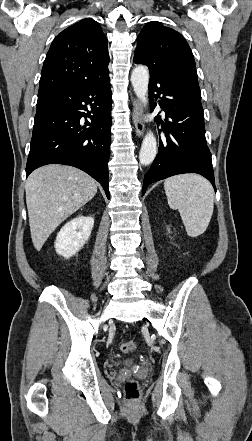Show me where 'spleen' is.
Segmentation results:
<instances>
[{
	"label": "spleen",
	"instance_id": "spleen-1",
	"mask_svg": "<svg viewBox=\"0 0 252 441\" xmlns=\"http://www.w3.org/2000/svg\"><path fill=\"white\" fill-rule=\"evenodd\" d=\"M164 190L170 208L179 211L188 236L203 234L214 208L211 183L197 174L176 175L165 180Z\"/></svg>",
	"mask_w": 252,
	"mask_h": 441
}]
</instances>
